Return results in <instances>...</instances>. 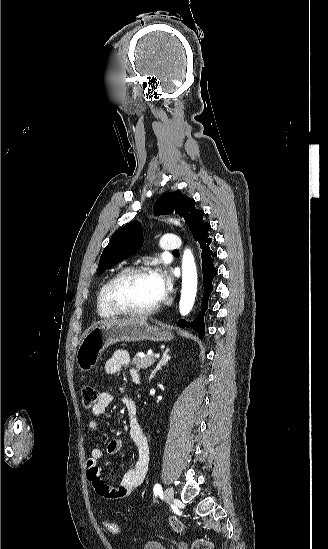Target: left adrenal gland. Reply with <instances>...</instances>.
<instances>
[{"instance_id": "left-adrenal-gland-1", "label": "left adrenal gland", "mask_w": 328, "mask_h": 549, "mask_svg": "<svg viewBox=\"0 0 328 549\" xmlns=\"http://www.w3.org/2000/svg\"><path fill=\"white\" fill-rule=\"evenodd\" d=\"M169 351H170V349H165V351L162 355V359H161L160 363H158L156 369H154V371H152L151 377H155L157 371H160V369H162V367H164V365H166V363H168V361H170L171 357H169V355H168Z\"/></svg>"}]
</instances>
